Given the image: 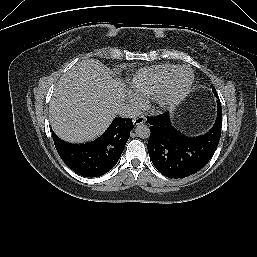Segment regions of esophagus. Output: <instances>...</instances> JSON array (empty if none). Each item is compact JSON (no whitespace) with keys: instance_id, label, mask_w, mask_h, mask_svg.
I'll use <instances>...</instances> for the list:
<instances>
[{"instance_id":"1","label":"esophagus","mask_w":257,"mask_h":257,"mask_svg":"<svg viewBox=\"0 0 257 257\" xmlns=\"http://www.w3.org/2000/svg\"><path fill=\"white\" fill-rule=\"evenodd\" d=\"M143 123H145V117L142 116V115L133 119V124L136 125V126L140 125V124H143Z\"/></svg>"}]
</instances>
